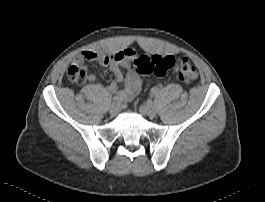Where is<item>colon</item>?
Here are the masks:
<instances>
[{"instance_id": "colon-1", "label": "colon", "mask_w": 265, "mask_h": 202, "mask_svg": "<svg viewBox=\"0 0 265 202\" xmlns=\"http://www.w3.org/2000/svg\"><path fill=\"white\" fill-rule=\"evenodd\" d=\"M175 65L174 57L160 55H140L133 62V68L136 72L158 77L164 76ZM67 77L73 83H80L84 80L85 70L81 65L72 64L67 69ZM178 79L185 84L198 79L196 68L187 59H182L179 62Z\"/></svg>"}]
</instances>
